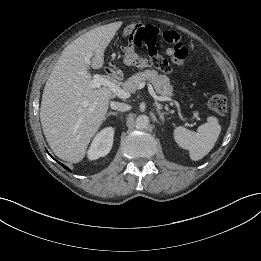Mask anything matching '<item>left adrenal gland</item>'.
I'll list each match as a JSON object with an SVG mask.
<instances>
[{
	"instance_id": "1",
	"label": "left adrenal gland",
	"mask_w": 261,
	"mask_h": 261,
	"mask_svg": "<svg viewBox=\"0 0 261 261\" xmlns=\"http://www.w3.org/2000/svg\"><path fill=\"white\" fill-rule=\"evenodd\" d=\"M156 112L159 114L160 120L162 121V124H163L164 121H165L164 116H165V115H168V113H166V112H161L159 109H156Z\"/></svg>"
}]
</instances>
